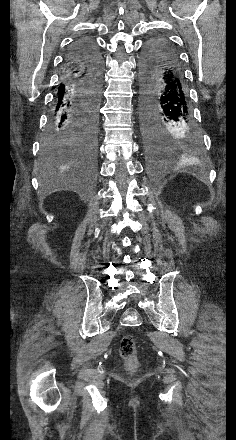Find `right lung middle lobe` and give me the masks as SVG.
I'll use <instances>...</instances> for the list:
<instances>
[{"instance_id":"obj_1","label":"right lung middle lobe","mask_w":236,"mask_h":440,"mask_svg":"<svg viewBox=\"0 0 236 440\" xmlns=\"http://www.w3.org/2000/svg\"><path fill=\"white\" fill-rule=\"evenodd\" d=\"M100 93L101 87L97 84H89L85 87L84 96L90 103L89 119L85 130L77 136L65 132L49 133L43 143L41 152V158L44 162L53 163L60 156L74 159L76 154H79L88 162L93 161L95 153L87 152L86 148L96 143L97 108Z\"/></svg>"}]
</instances>
